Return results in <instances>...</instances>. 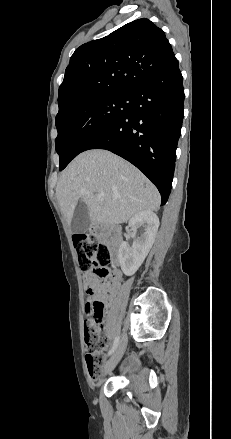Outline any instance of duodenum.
<instances>
[{"instance_id": "obj_1", "label": "duodenum", "mask_w": 231, "mask_h": 439, "mask_svg": "<svg viewBox=\"0 0 231 439\" xmlns=\"http://www.w3.org/2000/svg\"><path fill=\"white\" fill-rule=\"evenodd\" d=\"M96 231H98V232H103L104 230H103L102 228H96ZM108 233H109L110 235H115V236H117V235H119V229H118V228H115V227H110V228H108Z\"/></svg>"}]
</instances>
